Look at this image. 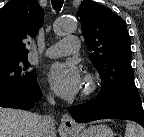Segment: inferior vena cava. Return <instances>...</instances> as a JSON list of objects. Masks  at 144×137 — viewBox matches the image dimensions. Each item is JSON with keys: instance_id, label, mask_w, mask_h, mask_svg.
<instances>
[{"instance_id": "1", "label": "inferior vena cava", "mask_w": 144, "mask_h": 137, "mask_svg": "<svg viewBox=\"0 0 144 137\" xmlns=\"http://www.w3.org/2000/svg\"><path fill=\"white\" fill-rule=\"evenodd\" d=\"M48 100L52 105L55 104L53 97H48ZM54 129L53 117L50 115L43 117L40 126V137H55Z\"/></svg>"}]
</instances>
